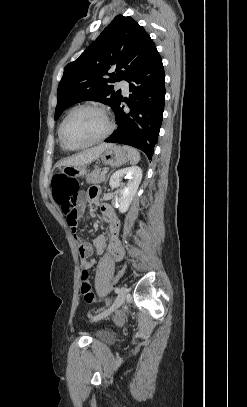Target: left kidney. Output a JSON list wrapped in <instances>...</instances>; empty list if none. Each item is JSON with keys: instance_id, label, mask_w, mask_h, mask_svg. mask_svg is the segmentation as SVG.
Masks as SVG:
<instances>
[{"instance_id": "5707ae66", "label": "left kidney", "mask_w": 247, "mask_h": 407, "mask_svg": "<svg viewBox=\"0 0 247 407\" xmlns=\"http://www.w3.org/2000/svg\"><path fill=\"white\" fill-rule=\"evenodd\" d=\"M122 177L129 179L127 185L122 186L119 191V211L125 213L136 195L139 184L141 183L142 170L138 166H132L116 171L110 178V187L112 189L120 187Z\"/></svg>"}]
</instances>
